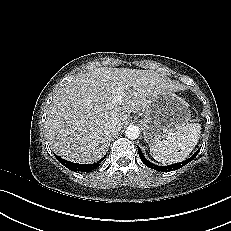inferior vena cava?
I'll list each match as a JSON object with an SVG mask.
<instances>
[{
  "label": "inferior vena cava",
  "mask_w": 231,
  "mask_h": 231,
  "mask_svg": "<svg viewBox=\"0 0 231 231\" xmlns=\"http://www.w3.org/2000/svg\"><path fill=\"white\" fill-rule=\"evenodd\" d=\"M106 129L110 135H114L118 131H120L121 128L116 123H111V124L107 125Z\"/></svg>",
  "instance_id": "1"
}]
</instances>
